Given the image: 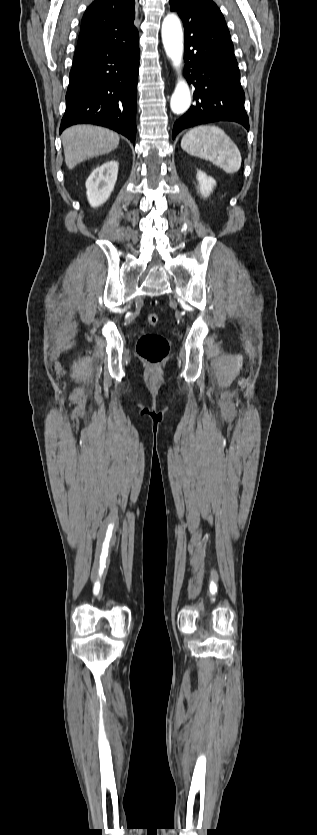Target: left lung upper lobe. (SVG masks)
<instances>
[{"mask_svg":"<svg viewBox=\"0 0 317 835\" xmlns=\"http://www.w3.org/2000/svg\"><path fill=\"white\" fill-rule=\"evenodd\" d=\"M170 10L178 12L185 28L203 19L226 25L221 11L212 0H170Z\"/></svg>","mask_w":317,"mask_h":835,"instance_id":"left-lung-upper-lobe-1","label":"left lung upper lobe"}]
</instances>
